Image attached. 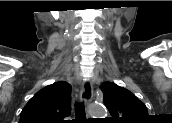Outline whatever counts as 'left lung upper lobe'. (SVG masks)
Returning <instances> with one entry per match:
<instances>
[{"instance_id":"1","label":"left lung upper lobe","mask_w":172,"mask_h":123,"mask_svg":"<svg viewBox=\"0 0 172 123\" xmlns=\"http://www.w3.org/2000/svg\"><path fill=\"white\" fill-rule=\"evenodd\" d=\"M103 102L111 114L113 123H137L148 118L145 104L132 92L113 82H104L100 86Z\"/></svg>"}]
</instances>
